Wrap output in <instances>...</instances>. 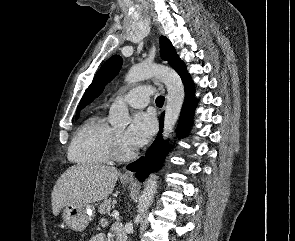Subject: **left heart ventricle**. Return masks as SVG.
<instances>
[{
	"instance_id": "obj_1",
	"label": "left heart ventricle",
	"mask_w": 295,
	"mask_h": 241,
	"mask_svg": "<svg viewBox=\"0 0 295 241\" xmlns=\"http://www.w3.org/2000/svg\"><path fill=\"white\" fill-rule=\"evenodd\" d=\"M124 129H117L115 130L116 135L118 136V138L120 139V141L122 142V144L124 145V147L126 149H130L124 142L123 136H124Z\"/></svg>"
}]
</instances>
